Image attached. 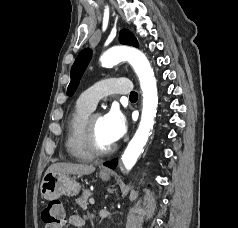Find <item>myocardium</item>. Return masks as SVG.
<instances>
[{"label":"myocardium","instance_id":"obj_1","mask_svg":"<svg viewBox=\"0 0 238 228\" xmlns=\"http://www.w3.org/2000/svg\"><path fill=\"white\" fill-rule=\"evenodd\" d=\"M98 114H90L85 122L84 142L86 149L93 157H105L115 152L117 146H112L102 149L98 146L95 138L93 120Z\"/></svg>","mask_w":238,"mask_h":228}]
</instances>
